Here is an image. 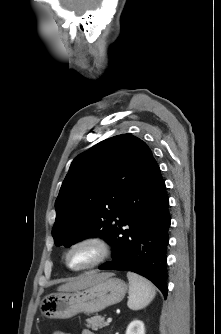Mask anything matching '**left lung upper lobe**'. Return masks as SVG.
I'll return each mask as SVG.
<instances>
[{
    "label": "left lung upper lobe",
    "instance_id": "left-lung-upper-lobe-1",
    "mask_svg": "<svg viewBox=\"0 0 221 334\" xmlns=\"http://www.w3.org/2000/svg\"><path fill=\"white\" fill-rule=\"evenodd\" d=\"M152 161L147 144L132 134L108 138L79 154L55 201V245L97 236L109 243L124 199Z\"/></svg>",
    "mask_w": 221,
    "mask_h": 334
}]
</instances>
